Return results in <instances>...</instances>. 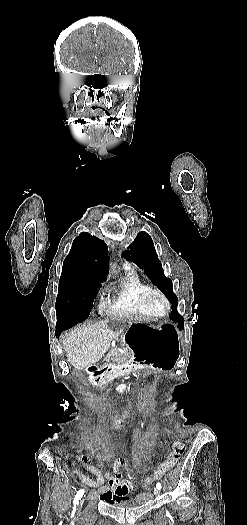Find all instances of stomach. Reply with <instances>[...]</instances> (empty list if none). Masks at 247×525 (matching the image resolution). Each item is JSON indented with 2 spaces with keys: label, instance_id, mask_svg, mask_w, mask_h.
Listing matches in <instances>:
<instances>
[{
  "label": "stomach",
  "instance_id": "0dacf381",
  "mask_svg": "<svg viewBox=\"0 0 247 525\" xmlns=\"http://www.w3.org/2000/svg\"><path fill=\"white\" fill-rule=\"evenodd\" d=\"M136 361L154 370H172L179 359L181 334L171 325L133 323L125 335Z\"/></svg>",
  "mask_w": 247,
  "mask_h": 525
}]
</instances>
